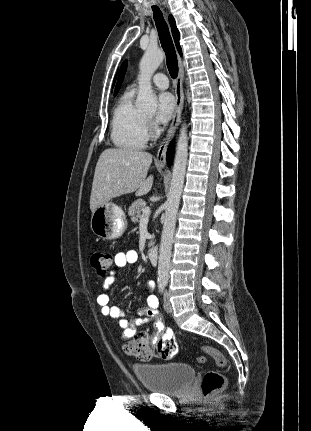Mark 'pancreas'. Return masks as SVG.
Listing matches in <instances>:
<instances>
[{
  "mask_svg": "<svg viewBox=\"0 0 311 431\" xmlns=\"http://www.w3.org/2000/svg\"><path fill=\"white\" fill-rule=\"evenodd\" d=\"M147 202H144V200H135L133 202L132 206L128 208V216H131V221H138V217H141V212H143L144 208H146ZM154 235H152L153 239ZM153 245V241H148V247H151Z\"/></svg>",
  "mask_w": 311,
  "mask_h": 431,
  "instance_id": "1",
  "label": "pancreas"
}]
</instances>
